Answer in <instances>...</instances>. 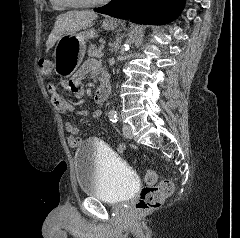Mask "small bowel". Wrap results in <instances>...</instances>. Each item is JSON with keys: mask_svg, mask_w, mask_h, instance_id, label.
Wrapping results in <instances>:
<instances>
[{"mask_svg": "<svg viewBox=\"0 0 240 238\" xmlns=\"http://www.w3.org/2000/svg\"><path fill=\"white\" fill-rule=\"evenodd\" d=\"M99 68V64L95 60H89L87 61L81 68V70L78 73V76L76 78L70 79V80H62L60 82V86L63 90H70L76 98H81L84 95V86L81 82V77L85 75L88 71L92 69ZM48 91L51 96V101L55 108L59 112H75L76 114L80 116H87L90 113H92L93 117L97 118L101 115L100 107L102 103H97L96 106L92 110H77L73 104H71L68 100H66L62 95L61 91L57 88L56 85L53 83H50L48 85ZM65 130L68 133V144L69 146L73 148H77L82 140L78 137L79 134V128L73 125L71 122L65 123ZM128 148V143H121L117 147V153L118 154H126V149ZM134 164L138 163L137 159L133 160Z\"/></svg>", "mask_w": 240, "mask_h": 238, "instance_id": "small-bowel-1", "label": "small bowel"}]
</instances>
